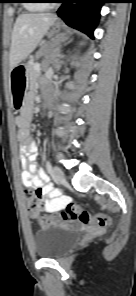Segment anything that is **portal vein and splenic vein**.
<instances>
[{
    "instance_id": "18ae733b",
    "label": "portal vein and splenic vein",
    "mask_w": 136,
    "mask_h": 296,
    "mask_svg": "<svg viewBox=\"0 0 136 296\" xmlns=\"http://www.w3.org/2000/svg\"><path fill=\"white\" fill-rule=\"evenodd\" d=\"M35 70L38 72L40 70L39 64L35 67Z\"/></svg>"
}]
</instances>
